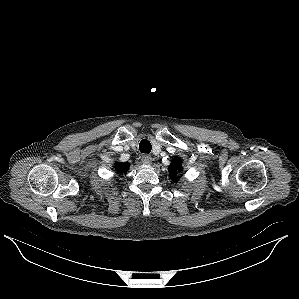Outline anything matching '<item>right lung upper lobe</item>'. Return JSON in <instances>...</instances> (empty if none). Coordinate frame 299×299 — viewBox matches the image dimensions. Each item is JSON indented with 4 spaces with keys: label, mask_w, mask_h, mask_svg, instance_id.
Here are the masks:
<instances>
[{
    "label": "right lung upper lobe",
    "mask_w": 299,
    "mask_h": 299,
    "mask_svg": "<svg viewBox=\"0 0 299 299\" xmlns=\"http://www.w3.org/2000/svg\"><path fill=\"white\" fill-rule=\"evenodd\" d=\"M128 164L127 163H117L116 164V166H115V168H116V170L117 171H119V172H125L127 169H128Z\"/></svg>",
    "instance_id": "right-lung-upper-lobe-1"
}]
</instances>
